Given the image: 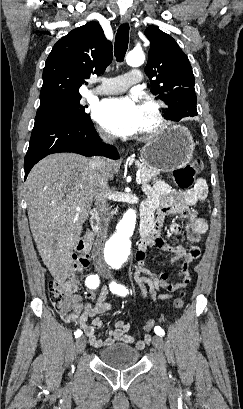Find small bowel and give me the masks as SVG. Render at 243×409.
<instances>
[{
	"instance_id": "1",
	"label": "small bowel",
	"mask_w": 243,
	"mask_h": 409,
	"mask_svg": "<svg viewBox=\"0 0 243 409\" xmlns=\"http://www.w3.org/2000/svg\"><path fill=\"white\" fill-rule=\"evenodd\" d=\"M207 192L208 187L204 179H199L191 189L182 192L173 190L163 181H159L153 187L147 188L148 197L143 205V210H151L153 214L156 212L157 217L150 237L141 239L139 243L133 278L139 286L141 296L148 302L157 299H169L174 293L190 283V263L201 256V248L197 245H193L189 249H185L181 245L172 246L161 237L160 231L163 219L167 214H178L187 220L186 233L188 240L194 244L198 243L207 232V223L204 218L196 214L192 207L204 200ZM170 231L172 234L177 235L181 233L182 228L178 223L174 222L170 225ZM154 248L174 254L172 262L179 261L180 282H170L167 273L158 272L146 266V259L151 255ZM160 290H166L167 293L158 295ZM73 301L78 311L74 321L79 324L93 347H107L117 342L122 344L135 342V338L128 334L130 324L125 321H117L113 327L108 328V338H97L96 329L104 327V322L98 315L113 311L107 288L101 289L95 304L84 302L80 296H74ZM89 319H92V324H89ZM150 339V335H144L136 341V348H145Z\"/></svg>"
}]
</instances>
